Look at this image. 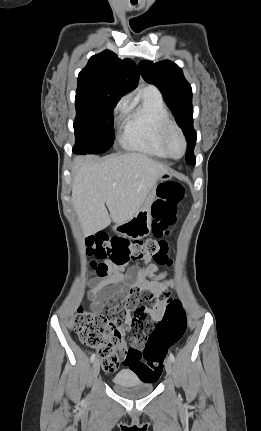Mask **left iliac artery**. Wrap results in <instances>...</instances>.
<instances>
[{
	"label": "left iliac artery",
	"instance_id": "left-iliac-artery-1",
	"mask_svg": "<svg viewBox=\"0 0 261 431\" xmlns=\"http://www.w3.org/2000/svg\"><path fill=\"white\" fill-rule=\"evenodd\" d=\"M169 359L172 361V362H175V357H174V355L170 352L169 353Z\"/></svg>",
	"mask_w": 261,
	"mask_h": 431
}]
</instances>
